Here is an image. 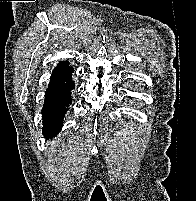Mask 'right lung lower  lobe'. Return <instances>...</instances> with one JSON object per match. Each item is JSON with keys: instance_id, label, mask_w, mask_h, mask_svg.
<instances>
[{"instance_id": "1", "label": "right lung lower lobe", "mask_w": 196, "mask_h": 201, "mask_svg": "<svg viewBox=\"0 0 196 201\" xmlns=\"http://www.w3.org/2000/svg\"><path fill=\"white\" fill-rule=\"evenodd\" d=\"M73 72L74 69L66 62L59 63L52 72L42 109L43 133L47 138H52L61 130L65 113L72 103Z\"/></svg>"}]
</instances>
